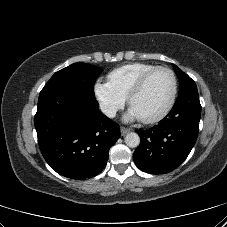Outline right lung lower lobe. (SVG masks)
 I'll use <instances>...</instances> for the list:
<instances>
[{"label":"right lung lower lobe","instance_id":"right-lung-lower-lobe-1","mask_svg":"<svg viewBox=\"0 0 227 227\" xmlns=\"http://www.w3.org/2000/svg\"><path fill=\"white\" fill-rule=\"evenodd\" d=\"M34 124L46 162L75 180L100 173L120 137L119 125L99 111L95 97L68 85L42 89Z\"/></svg>","mask_w":227,"mask_h":227}]
</instances>
